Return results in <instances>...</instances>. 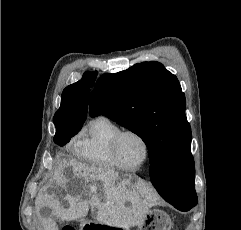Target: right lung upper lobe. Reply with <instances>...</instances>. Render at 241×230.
<instances>
[{
    "instance_id": "cb5924a9",
    "label": "right lung upper lobe",
    "mask_w": 241,
    "mask_h": 230,
    "mask_svg": "<svg viewBox=\"0 0 241 230\" xmlns=\"http://www.w3.org/2000/svg\"><path fill=\"white\" fill-rule=\"evenodd\" d=\"M97 72H85L82 79L63 90L61 106L54 115V123L82 125L86 120L90 88Z\"/></svg>"
}]
</instances>
